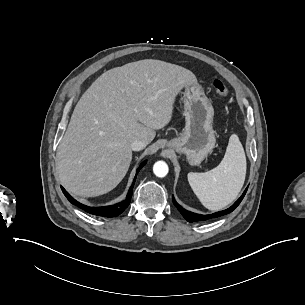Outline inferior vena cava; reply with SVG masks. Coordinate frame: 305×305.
Segmentation results:
<instances>
[{
	"label": "inferior vena cava",
	"instance_id": "1",
	"mask_svg": "<svg viewBox=\"0 0 305 305\" xmlns=\"http://www.w3.org/2000/svg\"><path fill=\"white\" fill-rule=\"evenodd\" d=\"M146 145L147 144L144 141L135 139L131 142L130 147L134 151H139V150L144 149L146 147Z\"/></svg>",
	"mask_w": 305,
	"mask_h": 305
}]
</instances>
